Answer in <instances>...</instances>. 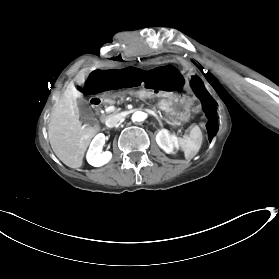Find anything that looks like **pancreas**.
I'll return each instance as SVG.
<instances>
[{
    "mask_svg": "<svg viewBox=\"0 0 279 279\" xmlns=\"http://www.w3.org/2000/svg\"><path fill=\"white\" fill-rule=\"evenodd\" d=\"M109 103H110V104H115V101H114V100H110Z\"/></svg>",
    "mask_w": 279,
    "mask_h": 279,
    "instance_id": "cf45deb5",
    "label": "pancreas"
}]
</instances>
